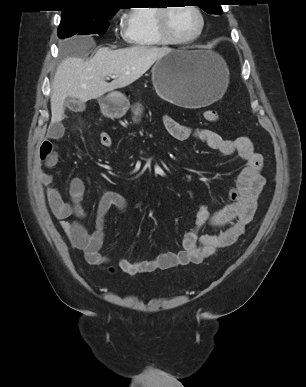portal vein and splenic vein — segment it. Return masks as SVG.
Wrapping results in <instances>:
<instances>
[{"instance_id":"portal-vein-and-splenic-vein-1","label":"portal vein and splenic vein","mask_w":306,"mask_h":387,"mask_svg":"<svg viewBox=\"0 0 306 387\" xmlns=\"http://www.w3.org/2000/svg\"><path fill=\"white\" fill-rule=\"evenodd\" d=\"M110 77H112V78H115V76H113V75H112V76H110Z\"/></svg>"}]
</instances>
